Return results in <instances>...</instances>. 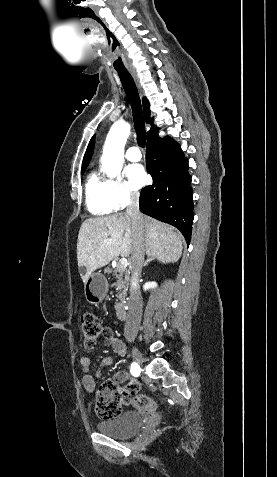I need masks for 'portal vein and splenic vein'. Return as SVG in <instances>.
<instances>
[{"instance_id":"1","label":"portal vein and splenic vein","mask_w":277,"mask_h":477,"mask_svg":"<svg viewBox=\"0 0 277 477\" xmlns=\"http://www.w3.org/2000/svg\"><path fill=\"white\" fill-rule=\"evenodd\" d=\"M128 264V260L124 257L119 260V265L121 268H126Z\"/></svg>"}]
</instances>
